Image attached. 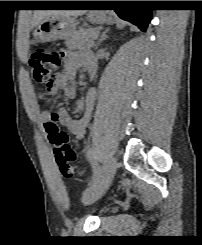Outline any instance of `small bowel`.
<instances>
[{"label":"small bowel","instance_id":"c3829d8e","mask_svg":"<svg viewBox=\"0 0 202 245\" xmlns=\"http://www.w3.org/2000/svg\"><path fill=\"white\" fill-rule=\"evenodd\" d=\"M64 60V75L57 78L60 87L68 99L76 96L75 79L80 68L86 71H94L96 68L95 60L90 55H83L75 51L64 50L62 52ZM95 91L91 90L85 97L84 103H79V108L84 106V112L78 118H73L67 109L58 111H43L38 114L41 122L45 123L52 115L58 117V121L65 126L71 133L81 137L91 119V111L95 103Z\"/></svg>","mask_w":202,"mask_h":245}]
</instances>
